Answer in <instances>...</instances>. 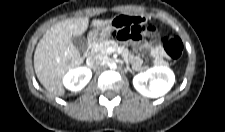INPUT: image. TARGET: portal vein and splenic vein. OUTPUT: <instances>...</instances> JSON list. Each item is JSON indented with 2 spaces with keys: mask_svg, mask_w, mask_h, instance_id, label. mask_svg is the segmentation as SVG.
I'll return each instance as SVG.
<instances>
[{
  "mask_svg": "<svg viewBox=\"0 0 225 132\" xmlns=\"http://www.w3.org/2000/svg\"><path fill=\"white\" fill-rule=\"evenodd\" d=\"M113 51V49L112 48H108V52H112Z\"/></svg>",
  "mask_w": 225,
  "mask_h": 132,
  "instance_id": "portal-vein-and-splenic-vein-1",
  "label": "portal vein and splenic vein"
}]
</instances>
